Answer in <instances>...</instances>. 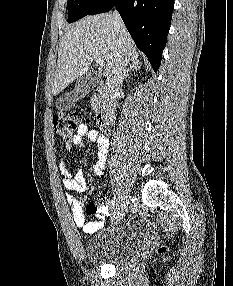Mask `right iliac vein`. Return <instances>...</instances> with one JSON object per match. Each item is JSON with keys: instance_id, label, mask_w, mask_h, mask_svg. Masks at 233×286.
I'll return each mask as SVG.
<instances>
[{"instance_id": "1", "label": "right iliac vein", "mask_w": 233, "mask_h": 286, "mask_svg": "<svg viewBox=\"0 0 233 286\" xmlns=\"http://www.w3.org/2000/svg\"><path fill=\"white\" fill-rule=\"evenodd\" d=\"M130 194L128 191H125L123 196H121L120 202L116 208V212L114 214V221L118 222L120 221L123 216L125 211L127 210V205H128V200L130 198Z\"/></svg>"}]
</instances>
